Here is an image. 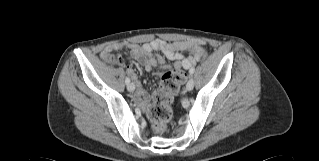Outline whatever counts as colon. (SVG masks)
<instances>
[{"instance_id": "5ec220e1", "label": "colon", "mask_w": 319, "mask_h": 161, "mask_svg": "<svg viewBox=\"0 0 319 161\" xmlns=\"http://www.w3.org/2000/svg\"><path fill=\"white\" fill-rule=\"evenodd\" d=\"M206 56L203 52L202 58ZM106 61L110 64H122L123 58L115 53L106 55ZM182 82V70L178 67L164 73L159 87L154 91L152 102L147 108L149 117L155 122L157 128H161L172 117V103Z\"/></svg>"}]
</instances>
